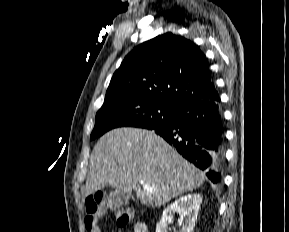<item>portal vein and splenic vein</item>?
Returning <instances> with one entry per match:
<instances>
[{"label": "portal vein and splenic vein", "mask_w": 289, "mask_h": 232, "mask_svg": "<svg viewBox=\"0 0 289 232\" xmlns=\"http://www.w3.org/2000/svg\"><path fill=\"white\" fill-rule=\"evenodd\" d=\"M142 186L145 190L152 191V188L149 185L142 183Z\"/></svg>", "instance_id": "1"}]
</instances>
